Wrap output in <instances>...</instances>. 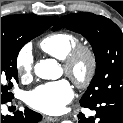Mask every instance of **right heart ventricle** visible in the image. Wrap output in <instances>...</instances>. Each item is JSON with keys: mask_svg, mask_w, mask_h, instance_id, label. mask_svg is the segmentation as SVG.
I'll return each instance as SVG.
<instances>
[{"mask_svg": "<svg viewBox=\"0 0 123 123\" xmlns=\"http://www.w3.org/2000/svg\"><path fill=\"white\" fill-rule=\"evenodd\" d=\"M78 44V38L67 32H55L45 36L39 43L40 49L46 54L59 60Z\"/></svg>", "mask_w": 123, "mask_h": 123, "instance_id": "right-heart-ventricle-1", "label": "right heart ventricle"}]
</instances>
